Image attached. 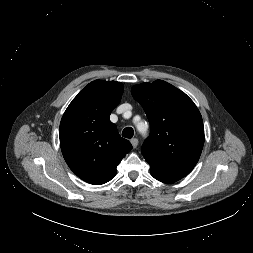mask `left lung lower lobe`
Instances as JSON below:
<instances>
[{
  "mask_svg": "<svg viewBox=\"0 0 253 253\" xmlns=\"http://www.w3.org/2000/svg\"><path fill=\"white\" fill-rule=\"evenodd\" d=\"M150 173L155 179H157L158 181H161L163 183H174V182L180 180L177 177L165 175V174L159 173L157 171L150 170Z\"/></svg>",
  "mask_w": 253,
  "mask_h": 253,
  "instance_id": "0a47b994",
  "label": "left lung lower lobe"
}]
</instances>
